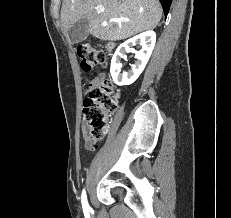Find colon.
<instances>
[{
    "label": "colon",
    "mask_w": 231,
    "mask_h": 218,
    "mask_svg": "<svg viewBox=\"0 0 231 218\" xmlns=\"http://www.w3.org/2000/svg\"><path fill=\"white\" fill-rule=\"evenodd\" d=\"M82 70L91 71L107 63L106 49L88 43L76 49ZM117 107V93L109 80H103L90 90L83 105V118L89 139L96 145L108 130L109 116Z\"/></svg>",
    "instance_id": "1"
}]
</instances>
